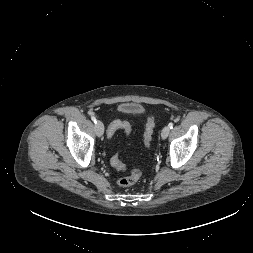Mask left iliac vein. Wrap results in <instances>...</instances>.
Instances as JSON below:
<instances>
[{
    "label": "left iliac vein",
    "instance_id": "1",
    "mask_svg": "<svg viewBox=\"0 0 253 253\" xmlns=\"http://www.w3.org/2000/svg\"><path fill=\"white\" fill-rule=\"evenodd\" d=\"M170 133V128L169 126H165L163 129H162V132H161V137L162 139H166L168 137Z\"/></svg>",
    "mask_w": 253,
    "mask_h": 253
}]
</instances>
